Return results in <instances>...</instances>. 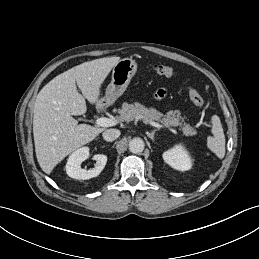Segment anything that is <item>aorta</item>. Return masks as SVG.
I'll return each mask as SVG.
<instances>
[{
    "label": "aorta",
    "instance_id": "aorta-1",
    "mask_svg": "<svg viewBox=\"0 0 259 259\" xmlns=\"http://www.w3.org/2000/svg\"><path fill=\"white\" fill-rule=\"evenodd\" d=\"M144 142L141 138H133L129 142V150L131 153L138 154L144 150Z\"/></svg>",
    "mask_w": 259,
    "mask_h": 259
}]
</instances>
